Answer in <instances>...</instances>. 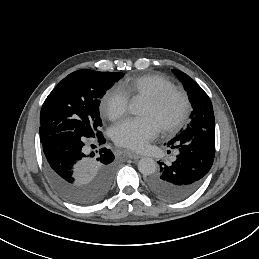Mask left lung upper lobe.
<instances>
[{
    "label": "left lung upper lobe",
    "mask_w": 259,
    "mask_h": 259,
    "mask_svg": "<svg viewBox=\"0 0 259 259\" xmlns=\"http://www.w3.org/2000/svg\"><path fill=\"white\" fill-rule=\"evenodd\" d=\"M173 72L183 83L193 108L190 116L191 122L187 125V128L201 127L204 129L215 130L213 106L208 95L192 78L185 73L176 69H173ZM176 137L169 142H174Z\"/></svg>",
    "instance_id": "obj_1"
}]
</instances>
